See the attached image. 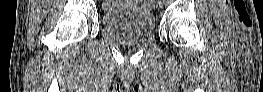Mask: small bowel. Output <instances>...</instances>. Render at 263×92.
<instances>
[{
  "label": "small bowel",
  "mask_w": 263,
  "mask_h": 92,
  "mask_svg": "<svg viewBox=\"0 0 263 92\" xmlns=\"http://www.w3.org/2000/svg\"><path fill=\"white\" fill-rule=\"evenodd\" d=\"M147 6H149V4H144V7H147Z\"/></svg>",
  "instance_id": "obj_1"
}]
</instances>
